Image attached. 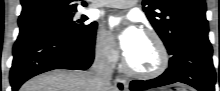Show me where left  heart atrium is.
Listing matches in <instances>:
<instances>
[{
  "mask_svg": "<svg viewBox=\"0 0 220 91\" xmlns=\"http://www.w3.org/2000/svg\"><path fill=\"white\" fill-rule=\"evenodd\" d=\"M126 19L129 21L127 25H123L124 18L122 17H111L109 19L110 28L117 30L118 45L125 56L135 47L143 34L133 19Z\"/></svg>",
  "mask_w": 220,
  "mask_h": 91,
  "instance_id": "left-heart-atrium-1",
  "label": "left heart atrium"
}]
</instances>
